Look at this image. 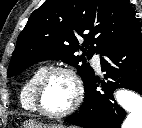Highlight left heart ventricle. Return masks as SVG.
Returning a JSON list of instances; mask_svg holds the SVG:
<instances>
[{
    "mask_svg": "<svg viewBox=\"0 0 142 128\" xmlns=\"http://www.w3.org/2000/svg\"><path fill=\"white\" fill-rule=\"evenodd\" d=\"M74 98L73 82L67 74L55 73L45 81L41 93L42 107L52 113L66 110Z\"/></svg>",
    "mask_w": 142,
    "mask_h": 128,
    "instance_id": "left-heart-ventricle-1",
    "label": "left heart ventricle"
}]
</instances>
